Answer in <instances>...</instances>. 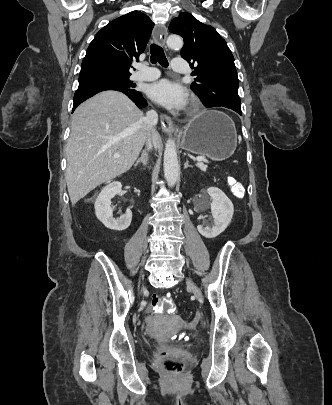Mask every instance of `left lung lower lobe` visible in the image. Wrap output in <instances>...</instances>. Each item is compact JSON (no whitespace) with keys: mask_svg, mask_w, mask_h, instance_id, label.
<instances>
[{"mask_svg":"<svg viewBox=\"0 0 332 405\" xmlns=\"http://www.w3.org/2000/svg\"><path fill=\"white\" fill-rule=\"evenodd\" d=\"M236 112H238L239 114H242V111L240 110V111H236Z\"/></svg>","mask_w":332,"mask_h":405,"instance_id":"obj_1","label":"left lung lower lobe"}]
</instances>
